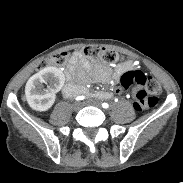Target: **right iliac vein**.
<instances>
[{
  "mask_svg": "<svg viewBox=\"0 0 183 183\" xmlns=\"http://www.w3.org/2000/svg\"><path fill=\"white\" fill-rule=\"evenodd\" d=\"M81 107H82V104H81L80 102H75V103H73V105H72V109H73L74 111H78Z\"/></svg>",
  "mask_w": 183,
  "mask_h": 183,
  "instance_id": "63e3f726",
  "label": "right iliac vein"
}]
</instances>
